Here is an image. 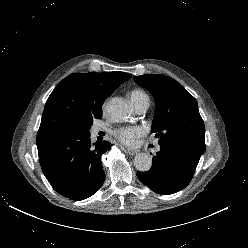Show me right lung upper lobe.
Masks as SVG:
<instances>
[{
	"label": "right lung upper lobe",
	"mask_w": 248,
	"mask_h": 248,
	"mask_svg": "<svg viewBox=\"0 0 248 248\" xmlns=\"http://www.w3.org/2000/svg\"><path fill=\"white\" fill-rule=\"evenodd\" d=\"M132 75L114 72L76 73L64 78L50 94L37 133V145L62 130L102 114V104Z\"/></svg>",
	"instance_id": "1"
}]
</instances>
